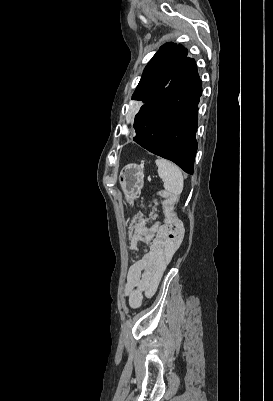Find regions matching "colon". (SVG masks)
<instances>
[{
    "mask_svg": "<svg viewBox=\"0 0 273 401\" xmlns=\"http://www.w3.org/2000/svg\"><path fill=\"white\" fill-rule=\"evenodd\" d=\"M182 227V223L177 218L167 215L163 224L157 228L158 241H183L184 233L177 232Z\"/></svg>",
    "mask_w": 273,
    "mask_h": 401,
    "instance_id": "5ec220e1",
    "label": "colon"
}]
</instances>
